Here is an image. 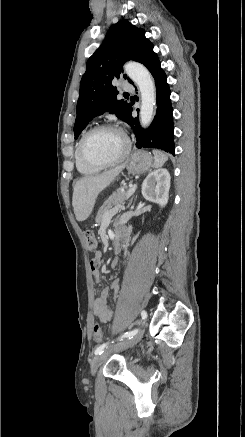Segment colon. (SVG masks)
I'll use <instances>...</instances> for the list:
<instances>
[{
    "label": "colon",
    "mask_w": 245,
    "mask_h": 437,
    "mask_svg": "<svg viewBox=\"0 0 245 437\" xmlns=\"http://www.w3.org/2000/svg\"><path fill=\"white\" fill-rule=\"evenodd\" d=\"M86 245L90 251H94L97 247V240L91 231H86ZM93 339L96 343H99L103 339V332L99 325H96L93 330Z\"/></svg>",
    "instance_id": "colon-1"
}]
</instances>
